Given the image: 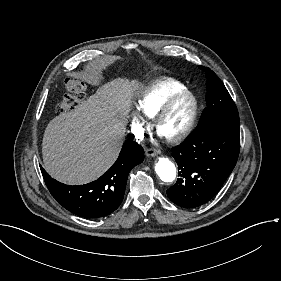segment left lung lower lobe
I'll list each match as a JSON object with an SVG mask.
<instances>
[{"label": "left lung lower lobe", "mask_w": 281, "mask_h": 281, "mask_svg": "<svg viewBox=\"0 0 281 281\" xmlns=\"http://www.w3.org/2000/svg\"><path fill=\"white\" fill-rule=\"evenodd\" d=\"M239 124L199 123L181 145L172 149L180 178L167 190L169 199L184 208L212 199L236 165Z\"/></svg>", "instance_id": "left-lung-lower-lobe-1"}]
</instances>
